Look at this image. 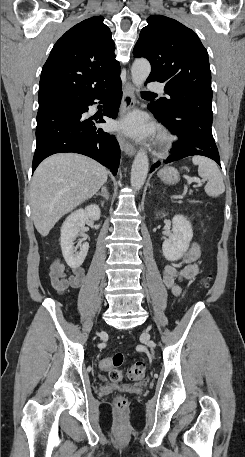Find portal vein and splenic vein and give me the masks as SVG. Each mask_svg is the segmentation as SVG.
Returning <instances> with one entry per match:
<instances>
[{
  "instance_id": "portal-vein-and-splenic-vein-1",
  "label": "portal vein and splenic vein",
  "mask_w": 245,
  "mask_h": 457,
  "mask_svg": "<svg viewBox=\"0 0 245 457\" xmlns=\"http://www.w3.org/2000/svg\"><path fill=\"white\" fill-rule=\"evenodd\" d=\"M187 180L190 187H193L196 182H199V184H203L204 182V178L201 180V178H197V176H187Z\"/></svg>"
}]
</instances>
